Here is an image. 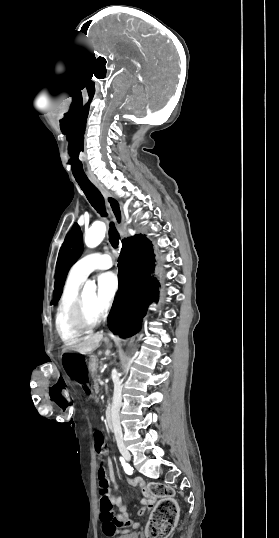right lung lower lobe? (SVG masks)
<instances>
[{
    "mask_svg": "<svg viewBox=\"0 0 279 538\" xmlns=\"http://www.w3.org/2000/svg\"><path fill=\"white\" fill-rule=\"evenodd\" d=\"M155 255L146 235L123 243L118 259L119 289L108 316V326L121 336L138 331L152 301L158 300L159 282L154 275Z\"/></svg>",
    "mask_w": 279,
    "mask_h": 538,
    "instance_id": "right-lung-lower-lobe-1",
    "label": "right lung lower lobe"
}]
</instances>
